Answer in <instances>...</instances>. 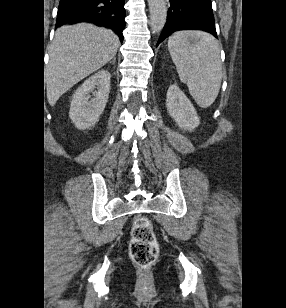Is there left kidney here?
<instances>
[{"mask_svg":"<svg viewBox=\"0 0 286 308\" xmlns=\"http://www.w3.org/2000/svg\"><path fill=\"white\" fill-rule=\"evenodd\" d=\"M166 107L169 115L183 131L191 132L200 124L194 106L176 84L170 85L167 91Z\"/></svg>","mask_w":286,"mask_h":308,"instance_id":"obj_1","label":"left kidney"}]
</instances>
